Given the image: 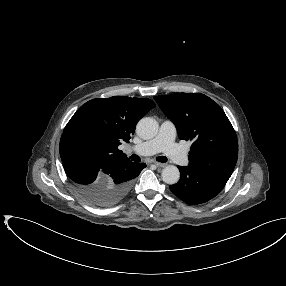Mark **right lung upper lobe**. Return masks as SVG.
Wrapping results in <instances>:
<instances>
[{"mask_svg":"<svg viewBox=\"0 0 286 286\" xmlns=\"http://www.w3.org/2000/svg\"><path fill=\"white\" fill-rule=\"evenodd\" d=\"M154 107L155 103L146 98L93 99L76 111L62 135L79 137L102 164L129 162L118 146L121 142H129L137 122Z\"/></svg>","mask_w":286,"mask_h":286,"instance_id":"cb5924a9","label":"right lung upper lobe"}]
</instances>
